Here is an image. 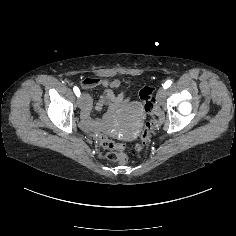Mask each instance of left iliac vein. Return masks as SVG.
I'll return each mask as SVG.
<instances>
[{
  "label": "left iliac vein",
  "mask_w": 236,
  "mask_h": 236,
  "mask_svg": "<svg viewBox=\"0 0 236 236\" xmlns=\"http://www.w3.org/2000/svg\"><path fill=\"white\" fill-rule=\"evenodd\" d=\"M166 98V90L164 88H159L156 94V99L160 104H163Z\"/></svg>",
  "instance_id": "4c4485c4"
}]
</instances>
